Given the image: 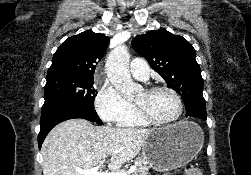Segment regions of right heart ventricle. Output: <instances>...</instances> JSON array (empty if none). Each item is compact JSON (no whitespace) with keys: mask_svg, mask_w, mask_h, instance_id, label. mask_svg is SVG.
<instances>
[{"mask_svg":"<svg viewBox=\"0 0 251 175\" xmlns=\"http://www.w3.org/2000/svg\"><path fill=\"white\" fill-rule=\"evenodd\" d=\"M146 121L142 119L137 112L131 115L127 120L120 124L121 127H136L145 125Z\"/></svg>","mask_w":251,"mask_h":175,"instance_id":"e07e8e85","label":"right heart ventricle"}]
</instances>
